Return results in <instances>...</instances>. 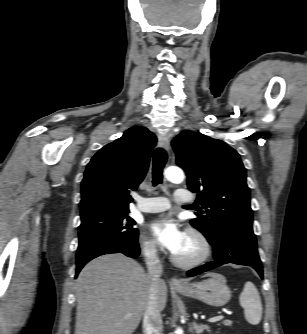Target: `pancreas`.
Instances as JSON below:
<instances>
[{
    "instance_id": "1",
    "label": "pancreas",
    "mask_w": 307,
    "mask_h": 334,
    "mask_svg": "<svg viewBox=\"0 0 307 334\" xmlns=\"http://www.w3.org/2000/svg\"><path fill=\"white\" fill-rule=\"evenodd\" d=\"M232 323H233V322L230 321V320H224V321L222 322V324L225 325V326H231Z\"/></svg>"
}]
</instances>
